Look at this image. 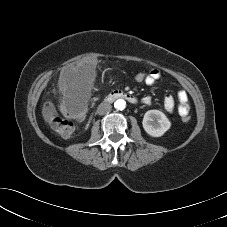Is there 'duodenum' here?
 I'll list each match as a JSON object with an SVG mask.
<instances>
[{"label":"duodenum","mask_w":227,"mask_h":227,"mask_svg":"<svg viewBox=\"0 0 227 227\" xmlns=\"http://www.w3.org/2000/svg\"><path fill=\"white\" fill-rule=\"evenodd\" d=\"M119 98L126 99L127 101H129L130 103H133V104L137 103V98L135 95H133L129 92L123 91V90L112 91L105 98V102L109 103V102H112Z\"/></svg>","instance_id":"1"}]
</instances>
